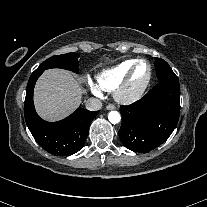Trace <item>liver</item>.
Returning a JSON list of instances; mask_svg holds the SVG:
<instances>
[{
    "instance_id": "1",
    "label": "liver",
    "mask_w": 207,
    "mask_h": 207,
    "mask_svg": "<svg viewBox=\"0 0 207 207\" xmlns=\"http://www.w3.org/2000/svg\"><path fill=\"white\" fill-rule=\"evenodd\" d=\"M83 92L82 82L69 71L45 70L34 89V105L43 119L57 121L79 107Z\"/></svg>"
}]
</instances>
